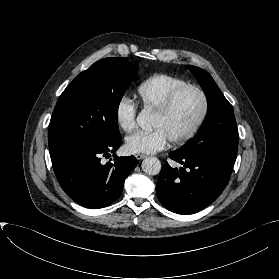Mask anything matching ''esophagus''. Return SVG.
<instances>
[{"mask_svg": "<svg viewBox=\"0 0 279 279\" xmlns=\"http://www.w3.org/2000/svg\"><path fill=\"white\" fill-rule=\"evenodd\" d=\"M135 157H136L138 160H141V159L146 158L147 155H146V154H140V153H139V154H136Z\"/></svg>", "mask_w": 279, "mask_h": 279, "instance_id": "34e87169", "label": "esophagus"}]
</instances>
